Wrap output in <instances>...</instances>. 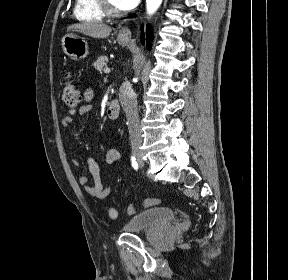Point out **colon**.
Masks as SVG:
<instances>
[{
	"instance_id": "colon-1",
	"label": "colon",
	"mask_w": 288,
	"mask_h": 280,
	"mask_svg": "<svg viewBox=\"0 0 288 280\" xmlns=\"http://www.w3.org/2000/svg\"><path fill=\"white\" fill-rule=\"evenodd\" d=\"M65 80V86L62 91V101L67 108L74 111L80 103L81 96L75 84L73 83L72 76L70 74L65 76ZM159 203L160 199L158 198H147L139 203L130 204L127 208V212L132 215L135 214L140 208L155 206ZM108 215L111 219H115L118 215V212L115 208L111 207L108 210Z\"/></svg>"
}]
</instances>
